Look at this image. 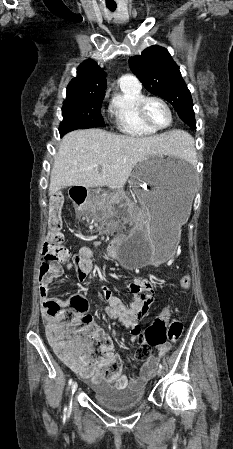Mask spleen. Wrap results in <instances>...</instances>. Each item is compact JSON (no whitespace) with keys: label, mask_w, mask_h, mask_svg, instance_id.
Returning a JSON list of instances; mask_svg holds the SVG:
<instances>
[{"label":"spleen","mask_w":233,"mask_h":449,"mask_svg":"<svg viewBox=\"0 0 233 449\" xmlns=\"http://www.w3.org/2000/svg\"><path fill=\"white\" fill-rule=\"evenodd\" d=\"M181 142H183V144L179 145L175 153L180 156L190 157L193 154L191 137L186 133L184 134V139H182Z\"/></svg>","instance_id":"obj_1"}]
</instances>
